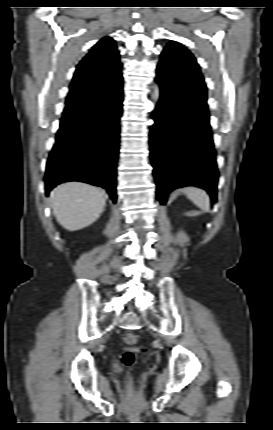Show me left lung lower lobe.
<instances>
[{
	"label": "left lung lower lobe",
	"instance_id": "0a47b994",
	"mask_svg": "<svg viewBox=\"0 0 273 430\" xmlns=\"http://www.w3.org/2000/svg\"><path fill=\"white\" fill-rule=\"evenodd\" d=\"M160 99L153 112L150 150L157 198L167 202L168 193L194 185L205 189L216 201L218 169L209 114L198 104L179 96L169 78L158 71Z\"/></svg>",
	"mask_w": 273,
	"mask_h": 430
}]
</instances>
